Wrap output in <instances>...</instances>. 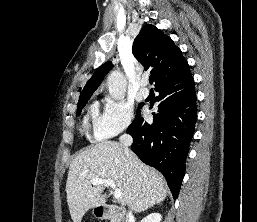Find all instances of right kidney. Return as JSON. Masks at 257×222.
Segmentation results:
<instances>
[{"instance_id":"obj_1","label":"right kidney","mask_w":257,"mask_h":222,"mask_svg":"<svg viewBox=\"0 0 257 222\" xmlns=\"http://www.w3.org/2000/svg\"><path fill=\"white\" fill-rule=\"evenodd\" d=\"M162 216L160 213H151L141 220V222H161Z\"/></svg>"}]
</instances>
